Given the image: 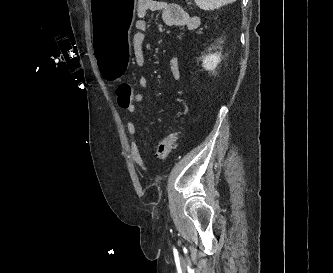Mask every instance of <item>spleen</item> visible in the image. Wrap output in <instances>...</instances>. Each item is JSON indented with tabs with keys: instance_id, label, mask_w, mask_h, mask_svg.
I'll use <instances>...</instances> for the list:
<instances>
[{
	"instance_id": "3e777b00",
	"label": "spleen",
	"mask_w": 333,
	"mask_h": 273,
	"mask_svg": "<svg viewBox=\"0 0 333 273\" xmlns=\"http://www.w3.org/2000/svg\"><path fill=\"white\" fill-rule=\"evenodd\" d=\"M235 1L236 0H195V3L200 9L209 11L218 9Z\"/></svg>"
}]
</instances>
